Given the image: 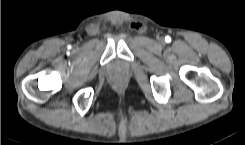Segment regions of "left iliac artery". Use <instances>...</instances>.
<instances>
[{"label":"left iliac artery","mask_w":245,"mask_h":145,"mask_svg":"<svg viewBox=\"0 0 245 145\" xmlns=\"http://www.w3.org/2000/svg\"><path fill=\"white\" fill-rule=\"evenodd\" d=\"M165 41L169 42V41H171V38L169 36H166Z\"/></svg>","instance_id":"44dca946"}]
</instances>
